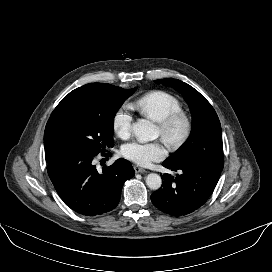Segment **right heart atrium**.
I'll return each mask as SVG.
<instances>
[{
	"mask_svg": "<svg viewBox=\"0 0 272 272\" xmlns=\"http://www.w3.org/2000/svg\"><path fill=\"white\" fill-rule=\"evenodd\" d=\"M132 115L125 106L120 107L114 114L112 125L114 132L122 139H126L132 132Z\"/></svg>",
	"mask_w": 272,
	"mask_h": 272,
	"instance_id": "d8ad5b80",
	"label": "right heart atrium"
}]
</instances>
